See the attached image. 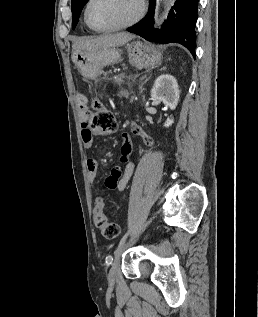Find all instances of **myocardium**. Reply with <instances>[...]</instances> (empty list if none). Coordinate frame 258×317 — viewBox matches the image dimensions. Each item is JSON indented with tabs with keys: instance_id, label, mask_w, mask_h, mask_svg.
Returning a JSON list of instances; mask_svg holds the SVG:
<instances>
[{
	"instance_id": "obj_1",
	"label": "myocardium",
	"mask_w": 258,
	"mask_h": 317,
	"mask_svg": "<svg viewBox=\"0 0 258 317\" xmlns=\"http://www.w3.org/2000/svg\"><path fill=\"white\" fill-rule=\"evenodd\" d=\"M95 0H89V2L86 5L85 8V12H84V19L85 22L87 23V25L94 31L97 32H113V31H118V30H124V29H130L132 27H134L143 17L144 13H145V5L141 0H133L137 3L138 5V12L136 14V16L128 23L123 24V25H118V26H113V27H108V28H98L96 26H94L90 19H89V9L91 4L94 2Z\"/></svg>"
}]
</instances>
